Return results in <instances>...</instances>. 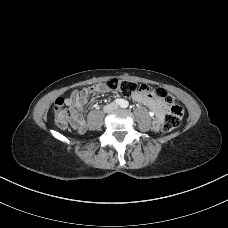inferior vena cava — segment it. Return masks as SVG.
<instances>
[{
  "label": "inferior vena cava",
  "mask_w": 228,
  "mask_h": 228,
  "mask_svg": "<svg viewBox=\"0 0 228 228\" xmlns=\"http://www.w3.org/2000/svg\"><path fill=\"white\" fill-rule=\"evenodd\" d=\"M116 108H117V105L105 106V107H104V111H105V112H110V111H112V110H114V109H116Z\"/></svg>",
  "instance_id": "602c4592"
}]
</instances>
